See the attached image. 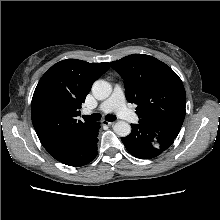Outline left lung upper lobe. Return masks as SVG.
Listing matches in <instances>:
<instances>
[{
  "mask_svg": "<svg viewBox=\"0 0 220 220\" xmlns=\"http://www.w3.org/2000/svg\"><path fill=\"white\" fill-rule=\"evenodd\" d=\"M124 79L125 95L137 105L140 124H155L176 138L185 118L186 92L181 79L165 63L149 55L132 54L110 63Z\"/></svg>",
  "mask_w": 220,
  "mask_h": 220,
  "instance_id": "5c2ea615",
  "label": "left lung upper lobe"
}]
</instances>
